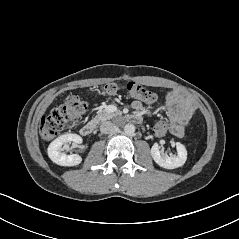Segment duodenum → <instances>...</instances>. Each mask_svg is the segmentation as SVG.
<instances>
[{
  "mask_svg": "<svg viewBox=\"0 0 239 239\" xmlns=\"http://www.w3.org/2000/svg\"><path fill=\"white\" fill-rule=\"evenodd\" d=\"M132 119L134 121L138 122V121H140L141 118L133 116ZM95 127H96V124H95L94 121L87 122L84 125H82V127L80 128V133L83 136H88V135L92 134V132L94 131Z\"/></svg>",
  "mask_w": 239,
  "mask_h": 239,
  "instance_id": "410a0bca",
  "label": "duodenum"
}]
</instances>
